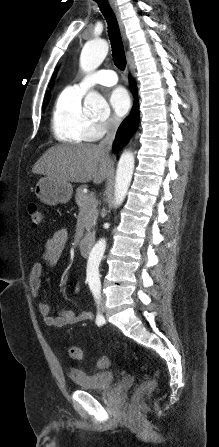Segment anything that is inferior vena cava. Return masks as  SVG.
Segmentation results:
<instances>
[{"label": "inferior vena cava", "mask_w": 219, "mask_h": 447, "mask_svg": "<svg viewBox=\"0 0 219 447\" xmlns=\"http://www.w3.org/2000/svg\"><path fill=\"white\" fill-rule=\"evenodd\" d=\"M120 124V119L118 117H114L111 121V126L105 136V138L100 142L99 146L105 150L106 153L112 149V144L116 136V131Z\"/></svg>", "instance_id": "1"}]
</instances>
